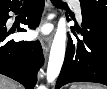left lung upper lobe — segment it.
I'll return each instance as SVG.
<instances>
[{
	"mask_svg": "<svg viewBox=\"0 0 107 89\" xmlns=\"http://www.w3.org/2000/svg\"><path fill=\"white\" fill-rule=\"evenodd\" d=\"M82 11L107 14V0H80Z\"/></svg>",
	"mask_w": 107,
	"mask_h": 89,
	"instance_id": "obj_1",
	"label": "left lung upper lobe"
}]
</instances>
